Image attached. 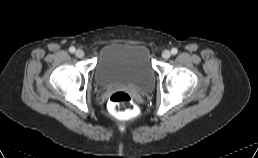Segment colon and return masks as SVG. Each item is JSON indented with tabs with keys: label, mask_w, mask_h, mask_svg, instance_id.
Segmentation results:
<instances>
[{
	"label": "colon",
	"mask_w": 258,
	"mask_h": 158,
	"mask_svg": "<svg viewBox=\"0 0 258 158\" xmlns=\"http://www.w3.org/2000/svg\"><path fill=\"white\" fill-rule=\"evenodd\" d=\"M108 108L115 116L127 117L133 112L134 101L128 92L116 91L109 98Z\"/></svg>",
	"instance_id": "obj_1"
}]
</instances>
